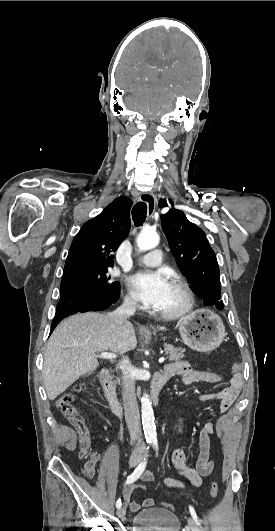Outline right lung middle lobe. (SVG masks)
Here are the masks:
<instances>
[{"instance_id": "dd1d6c3e", "label": "right lung middle lobe", "mask_w": 275, "mask_h": 531, "mask_svg": "<svg viewBox=\"0 0 275 531\" xmlns=\"http://www.w3.org/2000/svg\"><path fill=\"white\" fill-rule=\"evenodd\" d=\"M108 267H81L65 271L60 289L83 288L94 294L110 298L119 293L118 282H111Z\"/></svg>"}]
</instances>
